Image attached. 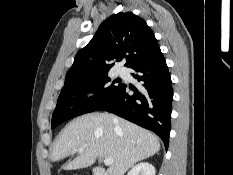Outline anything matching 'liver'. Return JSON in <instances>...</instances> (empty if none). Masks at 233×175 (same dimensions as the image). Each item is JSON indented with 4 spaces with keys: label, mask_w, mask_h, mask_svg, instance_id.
<instances>
[{
    "label": "liver",
    "mask_w": 233,
    "mask_h": 175,
    "mask_svg": "<svg viewBox=\"0 0 233 175\" xmlns=\"http://www.w3.org/2000/svg\"><path fill=\"white\" fill-rule=\"evenodd\" d=\"M159 149V139L150 131L113 114L90 113L64 128L53 147L51 160L58 162L78 153L63 166L64 170H76L91 166L97 157H109L114 162L109 165L108 174L124 175L135 163L153 156Z\"/></svg>",
    "instance_id": "obj_1"
}]
</instances>
